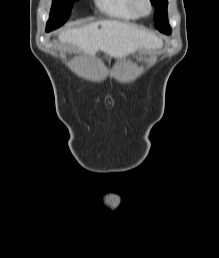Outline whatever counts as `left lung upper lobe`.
<instances>
[{"instance_id":"obj_1","label":"left lung upper lobe","mask_w":219,"mask_h":258,"mask_svg":"<svg viewBox=\"0 0 219 258\" xmlns=\"http://www.w3.org/2000/svg\"><path fill=\"white\" fill-rule=\"evenodd\" d=\"M151 2L155 7V14H154L155 27L162 33L170 34L171 28L169 26L168 17H167L168 1L151 0Z\"/></svg>"}]
</instances>
